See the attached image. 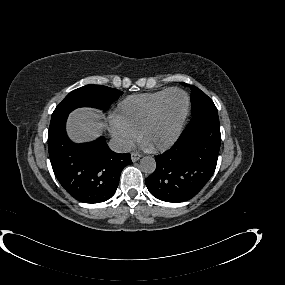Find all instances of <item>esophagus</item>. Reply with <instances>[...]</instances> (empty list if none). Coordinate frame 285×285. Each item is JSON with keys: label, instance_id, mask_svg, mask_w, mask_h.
<instances>
[{"label": "esophagus", "instance_id": "34e87169", "mask_svg": "<svg viewBox=\"0 0 285 285\" xmlns=\"http://www.w3.org/2000/svg\"><path fill=\"white\" fill-rule=\"evenodd\" d=\"M141 154L137 153V152H132L131 153V159L133 162L138 161L141 158Z\"/></svg>", "mask_w": 285, "mask_h": 285}]
</instances>
